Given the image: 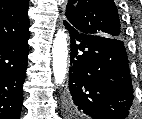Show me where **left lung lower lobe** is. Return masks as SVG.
I'll use <instances>...</instances> for the list:
<instances>
[{"instance_id": "1", "label": "left lung lower lobe", "mask_w": 142, "mask_h": 119, "mask_svg": "<svg viewBox=\"0 0 142 119\" xmlns=\"http://www.w3.org/2000/svg\"><path fill=\"white\" fill-rule=\"evenodd\" d=\"M64 25L71 37L70 110L93 119H126L134 95L123 41Z\"/></svg>"}]
</instances>
